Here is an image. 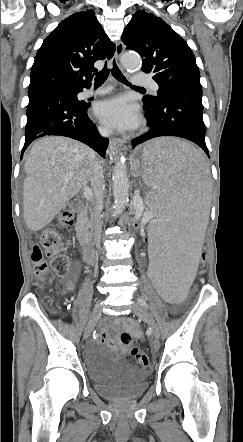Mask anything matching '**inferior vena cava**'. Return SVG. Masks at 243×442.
Segmentation results:
<instances>
[{
    "instance_id": "inferior-vena-cava-1",
    "label": "inferior vena cava",
    "mask_w": 243,
    "mask_h": 442,
    "mask_svg": "<svg viewBox=\"0 0 243 442\" xmlns=\"http://www.w3.org/2000/svg\"><path fill=\"white\" fill-rule=\"evenodd\" d=\"M99 132L102 136H109L111 131L109 129L100 128ZM91 187L94 196V209L91 215L92 219V228L94 241L98 249L101 248V235H102V220L100 211L103 203V194L105 190V180H104V171L98 160H96L92 167L91 174Z\"/></svg>"
}]
</instances>
